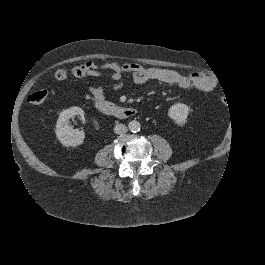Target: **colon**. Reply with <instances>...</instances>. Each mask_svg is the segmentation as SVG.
I'll use <instances>...</instances> for the list:
<instances>
[{"label":"colon","instance_id":"colon-1","mask_svg":"<svg viewBox=\"0 0 265 265\" xmlns=\"http://www.w3.org/2000/svg\"><path fill=\"white\" fill-rule=\"evenodd\" d=\"M69 74L75 77H84L87 74L86 64L76 66L70 72L64 69H59L55 72V78L60 81L65 80ZM46 97H47L46 90H38L31 93L28 96V102L31 104H40L45 101Z\"/></svg>","mask_w":265,"mask_h":265}]
</instances>
